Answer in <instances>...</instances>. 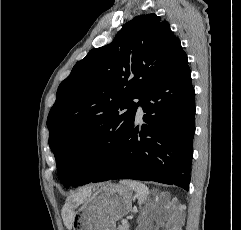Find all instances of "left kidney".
<instances>
[{
	"label": "left kidney",
	"instance_id": "1",
	"mask_svg": "<svg viewBox=\"0 0 241 230\" xmlns=\"http://www.w3.org/2000/svg\"><path fill=\"white\" fill-rule=\"evenodd\" d=\"M148 213L144 212L145 221L142 223V225L139 227V230H155V227L151 224L150 219H152V216L150 218H147Z\"/></svg>",
	"mask_w": 241,
	"mask_h": 230
}]
</instances>
